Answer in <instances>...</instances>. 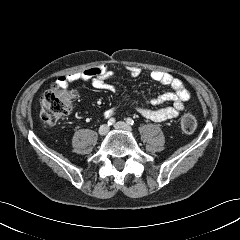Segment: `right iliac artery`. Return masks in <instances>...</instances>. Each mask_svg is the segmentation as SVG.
I'll list each match as a JSON object with an SVG mask.
<instances>
[{
  "label": "right iliac artery",
  "mask_w": 240,
  "mask_h": 240,
  "mask_svg": "<svg viewBox=\"0 0 240 240\" xmlns=\"http://www.w3.org/2000/svg\"><path fill=\"white\" fill-rule=\"evenodd\" d=\"M107 123H108V126H111V125H113L115 123V119L114 118H110Z\"/></svg>",
  "instance_id": "right-iliac-artery-1"
}]
</instances>
